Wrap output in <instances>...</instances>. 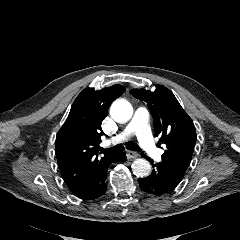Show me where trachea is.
Instances as JSON below:
<instances>
[{"label":"trachea","instance_id":"1","mask_svg":"<svg viewBox=\"0 0 240 240\" xmlns=\"http://www.w3.org/2000/svg\"><path fill=\"white\" fill-rule=\"evenodd\" d=\"M126 148L129 149V150H134V151H141L140 147L134 143V142H128L126 144ZM124 150V146L119 144L117 146H114V147H111V148H108V149H101V153H104L105 155H111V154H115V153H118V152H121Z\"/></svg>","mask_w":240,"mask_h":240}]
</instances>
